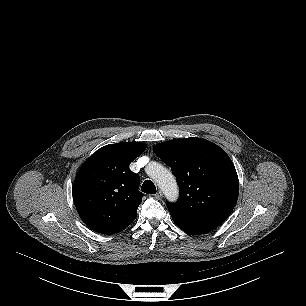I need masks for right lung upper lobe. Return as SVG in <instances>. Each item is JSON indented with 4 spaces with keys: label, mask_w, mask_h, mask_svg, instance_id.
I'll return each mask as SVG.
<instances>
[{
    "label": "right lung upper lobe",
    "mask_w": 306,
    "mask_h": 306,
    "mask_svg": "<svg viewBox=\"0 0 306 306\" xmlns=\"http://www.w3.org/2000/svg\"><path fill=\"white\" fill-rule=\"evenodd\" d=\"M145 149L144 143L110 144L81 166L73 185V200L90 229L114 234L134 221L143 194L138 190L140 178L129 165Z\"/></svg>",
    "instance_id": "obj_1"
}]
</instances>
